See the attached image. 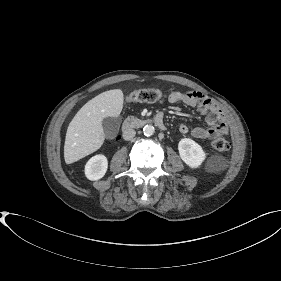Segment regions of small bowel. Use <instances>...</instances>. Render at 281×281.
Segmentation results:
<instances>
[{
	"mask_svg": "<svg viewBox=\"0 0 281 281\" xmlns=\"http://www.w3.org/2000/svg\"><path fill=\"white\" fill-rule=\"evenodd\" d=\"M169 103H182L185 106L193 107L206 115V126H199L193 129L185 124L179 125L181 134L190 133L197 139H210L219 135H226L228 127L225 122V117L219 106L200 92H179L173 91L167 97Z\"/></svg>",
	"mask_w": 281,
	"mask_h": 281,
	"instance_id": "obj_1",
	"label": "small bowel"
}]
</instances>
